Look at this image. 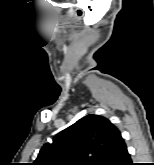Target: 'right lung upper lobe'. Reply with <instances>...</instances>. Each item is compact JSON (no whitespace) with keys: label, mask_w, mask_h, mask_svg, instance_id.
Here are the masks:
<instances>
[{"label":"right lung upper lobe","mask_w":154,"mask_h":165,"mask_svg":"<svg viewBox=\"0 0 154 165\" xmlns=\"http://www.w3.org/2000/svg\"><path fill=\"white\" fill-rule=\"evenodd\" d=\"M120 137L107 118L90 114L45 144L33 165H103Z\"/></svg>","instance_id":"right-lung-upper-lobe-1"}]
</instances>
